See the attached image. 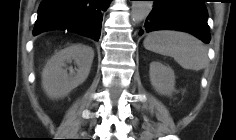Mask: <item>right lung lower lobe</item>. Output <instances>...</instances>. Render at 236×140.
I'll return each mask as SVG.
<instances>
[{
  "label": "right lung lower lobe",
  "instance_id": "98d812e1",
  "mask_svg": "<svg viewBox=\"0 0 236 140\" xmlns=\"http://www.w3.org/2000/svg\"><path fill=\"white\" fill-rule=\"evenodd\" d=\"M111 0H42L33 30L67 29L99 40L102 14Z\"/></svg>",
  "mask_w": 236,
  "mask_h": 140
}]
</instances>
